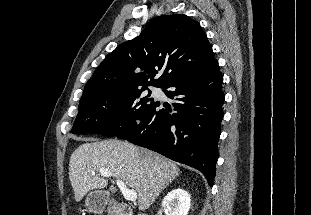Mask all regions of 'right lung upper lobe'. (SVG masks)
Instances as JSON below:
<instances>
[{
  "mask_svg": "<svg viewBox=\"0 0 311 215\" xmlns=\"http://www.w3.org/2000/svg\"><path fill=\"white\" fill-rule=\"evenodd\" d=\"M214 60L211 44L197 21L184 14L162 15L105 57L85 85L80 101L109 92L163 88ZM159 70L163 74L155 79Z\"/></svg>",
  "mask_w": 311,
  "mask_h": 215,
  "instance_id": "obj_1",
  "label": "right lung upper lobe"
}]
</instances>
